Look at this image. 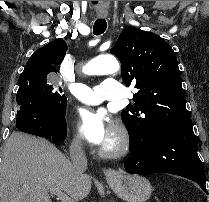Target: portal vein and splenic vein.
<instances>
[{
  "instance_id": "obj_1",
  "label": "portal vein and splenic vein",
  "mask_w": 209,
  "mask_h": 202,
  "mask_svg": "<svg viewBox=\"0 0 209 202\" xmlns=\"http://www.w3.org/2000/svg\"><path fill=\"white\" fill-rule=\"evenodd\" d=\"M51 193L56 195L58 199H60L62 202H74L73 199H71L68 195H66L62 190L60 189H53L51 190Z\"/></svg>"
}]
</instances>
